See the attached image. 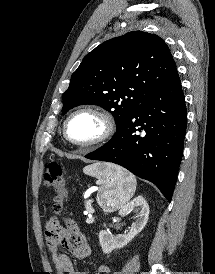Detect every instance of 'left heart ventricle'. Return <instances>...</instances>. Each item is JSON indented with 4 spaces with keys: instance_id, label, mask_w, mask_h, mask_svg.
<instances>
[{
    "instance_id": "left-heart-ventricle-1",
    "label": "left heart ventricle",
    "mask_w": 215,
    "mask_h": 274,
    "mask_svg": "<svg viewBox=\"0 0 215 274\" xmlns=\"http://www.w3.org/2000/svg\"><path fill=\"white\" fill-rule=\"evenodd\" d=\"M103 130L102 122L90 113L74 116L67 128L69 137L75 142H88L98 137Z\"/></svg>"
}]
</instances>
